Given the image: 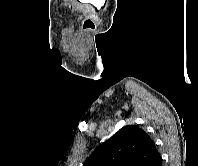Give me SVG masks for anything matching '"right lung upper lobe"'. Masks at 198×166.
Segmentation results:
<instances>
[{
	"mask_svg": "<svg viewBox=\"0 0 198 166\" xmlns=\"http://www.w3.org/2000/svg\"><path fill=\"white\" fill-rule=\"evenodd\" d=\"M159 155L150 136L129 125L98 146L83 166H149Z\"/></svg>",
	"mask_w": 198,
	"mask_h": 166,
	"instance_id": "obj_1",
	"label": "right lung upper lobe"
}]
</instances>
